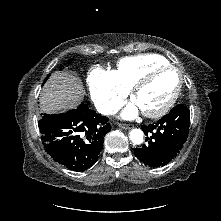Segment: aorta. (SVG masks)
Listing matches in <instances>:
<instances>
[{
  "label": "aorta",
  "instance_id": "762f6f07",
  "mask_svg": "<svg viewBox=\"0 0 221 221\" xmlns=\"http://www.w3.org/2000/svg\"><path fill=\"white\" fill-rule=\"evenodd\" d=\"M130 140L133 144L139 145L143 142V132L140 129H132L129 132Z\"/></svg>",
  "mask_w": 221,
  "mask_h": 221
}]
</instances>
